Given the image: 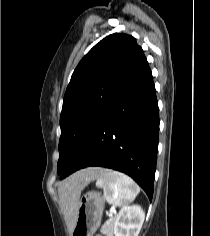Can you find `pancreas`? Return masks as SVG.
Instances as JSON below:
<instances>
[{"label":"pancreas","mask_w":210,"mask_h":236,"mask_svg":"<svg viewBox=\"0 0 210 236\" xmlns=\"http://www.w3.org/2000/svg\"><path fill=\"white\" fill-rule=\"evenodd\" d=\"M116 217L111 216L109 220H107L101 228V231L105 233L107 236H111V229L113 228Z\"/></svg>","instance_id":"cf45deb5"}]
</instances>
